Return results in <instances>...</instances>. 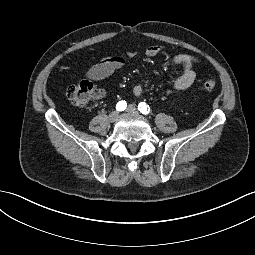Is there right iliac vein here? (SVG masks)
I'll return each instance as SVG.
<instances>
[{
  "label": "right iliac vein",
  "mask_w": 255,
  "mask_h": 255,
  "mask_svg": "<svg viewBox=\"0 0 255 255\" xmlns=\"http://www.w3.org/2000/svg\"><path fill=\"white\" fill-rule=\"evenodd\" d=\"M119 118V114L117 111H112L110 114H109V120L110 122H116Z\"/></svg>",
  "instance_id": "right-iliac-vein-1"
}]
</instances>
